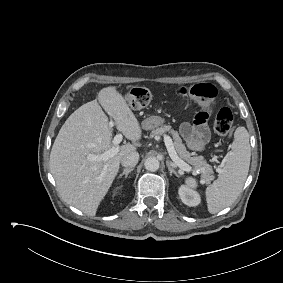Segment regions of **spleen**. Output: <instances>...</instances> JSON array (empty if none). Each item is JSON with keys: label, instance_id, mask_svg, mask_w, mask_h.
<instances>
[{"label": "spleen", "instance_id": "obj_1", "mask_svg": "<svg viewBox=\"0 0 283 283\" xmlns=\"http://www.w3.org/2000/svg\"><path fill=\"white\" fill-rule=\"evenodd\" d=\"M231 148L232 151L223 159L218 179L206 189L207 207L211 214L230 206L239 196L247 178L251 148L245 127L236 129ZM185 183L190 188L197 186L192 177L187 178Z\"/></svg>", "mask_w": 283, "mask_h": 283}]
</instances>
